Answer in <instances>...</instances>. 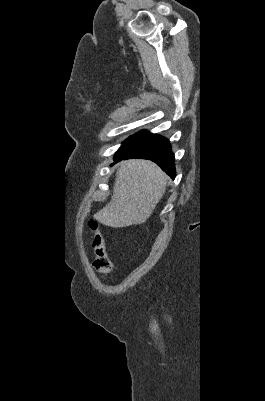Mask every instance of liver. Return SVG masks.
<instances>
[{"instance_id": "6515ba94", "label": "liver", "mask_w": 265, "mask_h": 401, "mask_svg": "<svg viewBox=\"0 0 265 401\" xmlns=\"http://www.w3.org/2000/svg\"><path fill=\"white\" fill-rule=\"evenodd\" d=\"M168 176L151 160L131 158L117 168L111 201L94 215L107 227L142 225L165 192Z\"/></svg>"}]
</instances>
